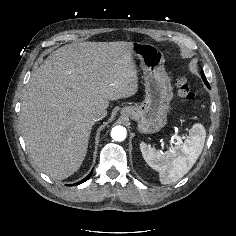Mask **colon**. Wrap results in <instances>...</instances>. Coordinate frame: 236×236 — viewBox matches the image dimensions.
I'll list each match as a JSON object with an SVG mask.
<instances>
[{"label": "colon", "instance_id": "1", "mask_svg": "<svg viewBox=\"0 0 236 236\" xmlns=\"http://www.w3.org/2000/svg\"><path fill=\"white\" fill-rule=\"evenodd\" d=\"M177 92L178 95L187 102H191L197 97L196 93L191 90L183 74L177 76Z\"/></svg>", "mask_w": 236, "mask_h": 236}]
</instances>
